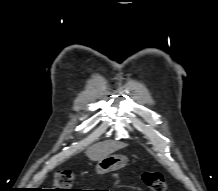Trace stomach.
Segmentation results:
<instances>
[{"instance_id":"stomach-1","label":"stomach","mask_w":218,"mask_h":191,"mask_svg":"<svg viewBox=\"0 0 218 191\" xmlns=\"http://www.w3.org/2000/svg\"><path fill=\"white\" fill-rule=\"evenodd\" d=\"M127 157L121 155H109L108 157L99 160L96 165V171L99 174H105L112 171H117L126 166Z\"/></svg>"}]
</instances>
